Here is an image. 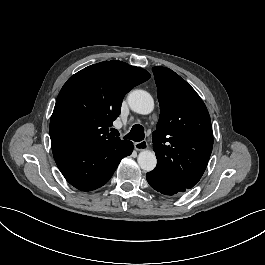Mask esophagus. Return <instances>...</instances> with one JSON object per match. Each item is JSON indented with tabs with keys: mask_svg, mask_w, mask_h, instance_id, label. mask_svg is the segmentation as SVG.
I'll return each instance as SVG.
<instances>
[{
	"mask_svg": "<svg viewBox=\"0 0 265 265\" xmlns=\"http://www.w3.org/2000/svg\"><path fill=\"white\" fill-rule=\"evenodd\" d=\"M135 149L138 151H142V150H147L148 149V143L147 141H140V142H136L134 143Z\"/></svg>",
	"mask_w": 265,
	"mask_h": 265,
	"instance_id": "1",
	"label": "esophagus"
}]
</instances>
